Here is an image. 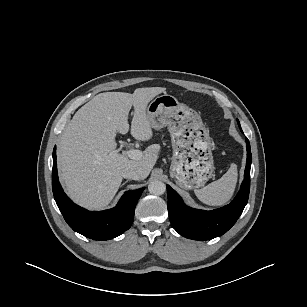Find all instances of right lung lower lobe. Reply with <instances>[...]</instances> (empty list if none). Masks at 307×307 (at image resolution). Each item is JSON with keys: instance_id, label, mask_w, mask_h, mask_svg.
Segmentation results:
<instances>
[{"instance_id": "98d812e1", "label": "right lung lower lobe", "mask_w": 307, "mask_h": 307, "mask_svg": "<svg viewBox=\"0 0 307 307\" xmlns=\"http://www.w3.org/2000/svg\"><path fill=\"white\" fill-rule=\"evenodd\" d=\"M52 190L65 221L76 232L94 240H109L128 230L134 219L136 203L144 188L126 192L112 209L88 211L73 203L58 180L56 147L53 150Z\"/></svg>"}]
</instances>
